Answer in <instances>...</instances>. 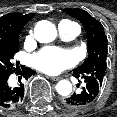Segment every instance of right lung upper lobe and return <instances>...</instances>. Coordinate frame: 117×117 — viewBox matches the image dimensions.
I'll return each mask as SVG.
<instances>
[{"label": "right lung upper lobe", "instance_id": "obj_1", "mask_svg": "<svg viewBox=\"0 0 117 117\" xmlns=\"http://www.w3.org/2000/svg\"><path fill=\"white\" fill-rule=\"evenodd\" d=\"M34 14L9 13L0 17V39L18 40L22 27Z\"/></svg>", "mask_w": 117, "mask_h": 117}]
</instances>
